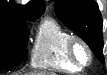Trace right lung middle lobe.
Returning a JSON list of instances; mask_svg holds the SVG:
<instances>
[{"label":"right lung middle lobe","instance_id":"1","mask_svg":"<svg viewBox=\"0 0 107 75\" xmlns=\"http://www.w3.org/2000/svg\"><path fill=\"white\" fill-rule=\"evenodd\" d=\"M28 29L25 24L13 23L0 30V70L19 65L28 50Z\"/></svg>","mask_w":107,"mask_h":75}]
</instances>
